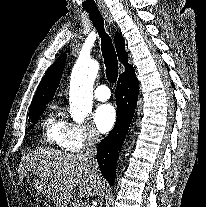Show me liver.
Segmentation results:
<instances>
[{"instance_id": "obj_1", "label": "liver", "mask_w": 206, "mask_h": 207, "mask_svg": "<svg viewBox=\"0 0 206 207\" xmlns=\"http://www.w3.org/2000/svg\"><path fill=\"white\" fill-rule=\"evenodd\" d=\"M27 171L48 185V197L57 207H63L71 200L70 192L78 187L79 197H92L102 192L105 182L100 175L95 179L88 162L80 154L55 150H37L23 157L19 177L23 179Z\"/></svg>"}]
</instances>
